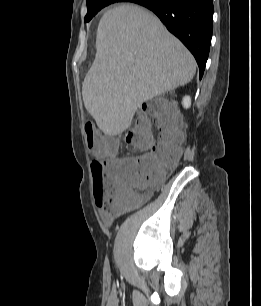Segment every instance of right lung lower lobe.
Returning <instances> with one entry per match:
<instances>
[{"instance_id":"98d812e1","label":"right lung lower lobe","mask_w":261,"mask_h":306,"mask_svg":"<svg viewBox=\"0 0 261 306\" xmlns=\"http://www.w3.org/2000/svg\"><path fill=\"white\" fill-rule=\"evenodd\" d=\"M153 11L194 55L200 78L204 73L212 37V0H133Z\"/></svg>"}]
</instances>
